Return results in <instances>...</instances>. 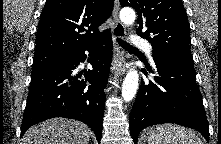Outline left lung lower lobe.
Listing matches in <instances>:
<instances>
[{
  "instance_id": "left-lung-lower-lobe-1",
  "label": "left lung lower lobe",
  "mask_w": 221,
  "mask_h": 144,
  "mask_svg": "<svg viewBox=\"0 0 221 144\" xmlns=\"http://www.w3.org/2000/svg\"><path fill=\"white\" fill-rule=\"evenodd\" d=\"M158 76L141 80L130 113V131L134 143L147 126L175 123L199 131L209 141V125L202 96L196 84L193 65L169 59L153 58ZM148 71L154 73L151 68ZM146 73V70H144Z\"/></svg>"
}]
</instances>
